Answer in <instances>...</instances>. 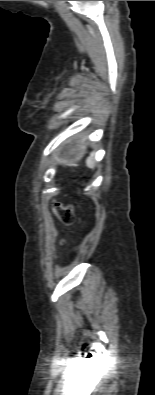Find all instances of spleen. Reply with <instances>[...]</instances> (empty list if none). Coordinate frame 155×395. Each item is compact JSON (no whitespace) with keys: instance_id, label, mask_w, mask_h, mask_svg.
<instances>
[{"instance_id":"1","label":"spleen","mask_w":155,"mask_h":395,"mask_svg":"<svg viewBox=\"0 0 155 395\" xmlns=\"http://www.w3.org/2000/svg\"><path fill=\"white\" fill-rule=\"evenodd\" d=\"M93 156H94V153H92L91 156L87 159V165H88L89 167H91V168L94 167Z\"/></svg>"}]
</instances>
